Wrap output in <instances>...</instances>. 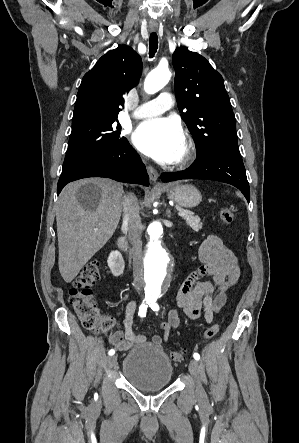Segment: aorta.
Listing matches in <instances>:
<instances>
[{
  "label": "aorta",
  "mask_w": 299,
  "mask_h": 443,
  "mask_svg": "<svg viewBox=\"0 0 299 443\" xmlns=\"http://www.w3.org/2000/svg\"><path fill=\"white\" fill-rule=\"evenodd\" d=\"M168 68H156L145 79L144 90L154 94L162 89L170 80ZM148 239L144 255L145 296L148 300L161 297L167 285L168 268L171 257L164 246L165 230L160 222H151L146 229Z\"/></svg>",
  "instance_id": "obj_1"
}]
</instances>
